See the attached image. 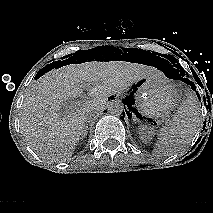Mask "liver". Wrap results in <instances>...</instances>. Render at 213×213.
I'll use <instances>...</instances> for the list:
<instances>
[{"label":"liver","instance_id":"1","mask_svg":"<svg viewBox=\"0 0 213 213\" xmlns=\"http://www.w3.org/2000/svg\"><path fill=\"white\" fill-rule=\"evenodd\" d=\"M158 75L150 66L126 61H90L52 69L32 84L24 99L21 133L41 158L68 161L81 139L89 112L103 110L110 95L142 78ZM84 88L91 99L80 107L61 111L64 102L81 96Z\"/></svg>","mask_w":213,"mask_h":213}]
</instances>
